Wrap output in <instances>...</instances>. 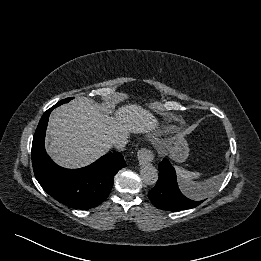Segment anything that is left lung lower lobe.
<instances>
[{
  "mask_svg": "<svg viewBox=\"0 0 261 261\" xmlns=\"http://www.w3.org/2000/svg\"><path fill=\"white\" fill-rule=\"evenodd\" d=\"M194 193L180 189L177 183L176 172L168 159L159 163V178L155 187L148 193V197L155 207L178 211L198 206L203 201L194 199Z\"/></svg>",
  "mask_w": 261,
  "mask_h": 261,
  "instance_id": "obj_1",
  "label": "left lung lower lobe"
}]
</instances>
